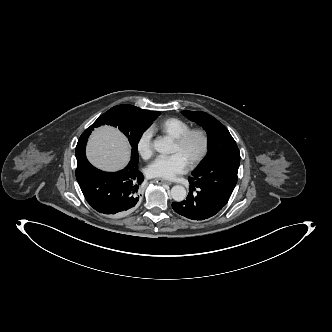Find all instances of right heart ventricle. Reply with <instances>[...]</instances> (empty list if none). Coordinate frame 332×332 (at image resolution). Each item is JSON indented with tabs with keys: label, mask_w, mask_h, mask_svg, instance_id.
I'll return each mask as SVG.
<instances>
[{
	"label": "right heart ventricle",
	"mask_w": 332,
	"mask_h": 332,
	"mask_svg": "<svg viewBox=\"0 0 332 332\" xmlns=\"http://www.w3.org/2000/svg\"><path fill=\"white\" fill-rule=\"evenodd\" d=\"M189 128L190 124L187 121L178 117H169L153 126L152 130L160 131L171 138L176 139Z\"/></svg>",
	"instance_id": "obj_1"
}]
</instances>
